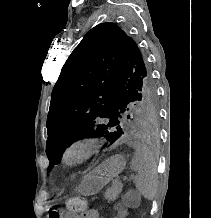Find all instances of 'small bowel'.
Returning a JSON list of instances; mask_svg holds the SVG:
<instances>
[{
  "mask_svg": "<svg viewBox=\"0 0 211 218\" xmlns=\"http://www.w3.org/2000/svg\"><path fill=\"white\" fill-rule=\"evenodd\" d=\"M115 218H126L127 217V208L124 204H118L115 207ZM77 218H101L100 213L94 209H88L83 211Z\"/></svg>",
  "mask_w": 211,
  "mask_h": 218,
  "instance_id": "small-bowel-1",
  "label": "small bowel"
}]
</instances>
